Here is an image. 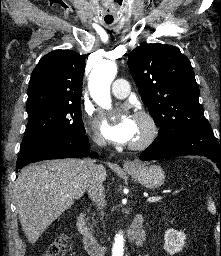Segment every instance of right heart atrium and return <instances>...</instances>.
<instances>
[{"mask_svg": "<svg viewBox=\"0 0 221 256\" xmlns=\"http://www.w3.org/2000/svg\"><path fill=\"white\" fill-rule=\"evenodd\" d=\"M93 141L99 146H102L105 143L103 136L97 131H93Z\"/></svg>", "mask_w": 221, "mask_h": 256, "instance_id": "right-heart-atrium-1", "label": "right heart atrium"}]
</instances>
